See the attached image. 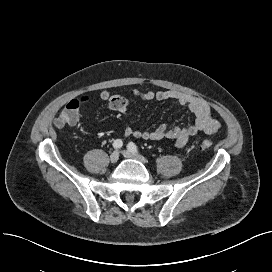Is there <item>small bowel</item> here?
Returning a JSON list of instances; mask_svg holds the SVG:
<instances>
[{
    "mask_svg": "<svg viewBox=\"0 0 272 272\" xmlns=\"http://www.w3.org/2000/svg\"><path fill=\"white\" fill-rule=\"evenodd\" d=\"M133 95L144 100H175L179 105L190 110L196 117L195 122L184 126L160 125L154 130H140L133 127H126L124 135L133 136L144 140L166 141L178 148L186 146L192 139L201 133L214 134L220 129L219 122L213 117L209 103L201 98L194 97L182 92L173 90L161 91H140L134 90ZM99 98L106 102L107 107L119 113H126L129 101L125 97L112 94L108 89H101ZM91 100L90 96H84L80 100H71L62 112V116L69 117L68 126H76L80 122V107Z\"/></svg>",
    "mask_w": 272,
    "mask_h": 272,
    "instance_id": "1",
    "label": "small bowel"
}]
</instances>
